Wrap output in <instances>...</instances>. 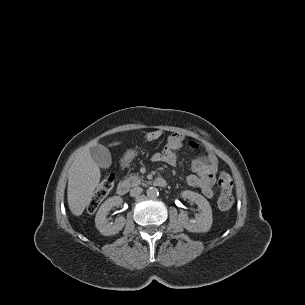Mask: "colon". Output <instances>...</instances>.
I'll return each instance as SVG.
<instances>
[{"label": "colon", "mask_w": 305, "mask_h": 305, "mask_svg": "<svg viewBox=\"0 0 305 305\" xmlns=\"http://www.w3.org/2000/svg\"><path fill=\"white\" fill-rule=\"evenodd\" d=\"M162 134H163L162 130H154L146 135V140L155 141L159 139L162 136ZM190 146H193V144L190 143ZM114 183H115V176L113 174L106 176L102 180V182L100 183L96 191L93 193L88 203L87 206L88 212L93 213L98 209V207L103 202V200L111 192ZM232 185H233L232 178L228 173H221L219 175L217 180V186L219 189L217 204L219 209H221L222 211L229 210L234 203V199L232 196Z\"/></svg>", "instance_id": "5ec220e1"}]
</instances>
